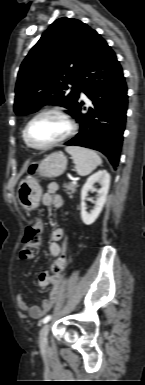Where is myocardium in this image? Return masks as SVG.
<instances>
[{
    "label": "myocardium",
    "mask_w": 145,
    "mask_h": 385,
    "mask_svg": "<svg viewBox=\"0 0 145 385\" xmlns=\"http://www.w3.org/2000/svg\"><path fill=\"white\" fill-rule=\"evenodd\" d=\"M46 114H55V115L60 116L67 123L68 130H67L66 134L64 136H62L61 138H59L58 140H56V141H54V142H52L50 144L44 145V146H37V145H34L30 141V138H29L30 126L32 125V123L37 118H39L40 116L46 115ZM76 131H77V123L73 119V117L65 109H63L61 107H48V108H44V109L40 110L39 112H37L27 122V124L25 126V129H24V132H23V137H24V141L27 144V146L30 147L31 149H34V150H48V149H51V148H53L55 146H58L59 144L67 141L68 139H70L72 136H74Z\"/></svg>",
    "instance_id": "f54148a6"
}]
</instances>
